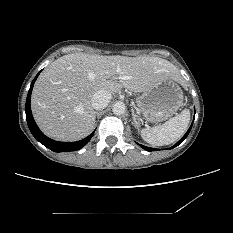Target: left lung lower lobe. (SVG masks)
<instances>
[{
	"label": "left lung lower lobe",
	"mask_w": 233,
	"mask_h": 233,
	"mask_svg": "<svg viewBox=\"0 0 233 233\" xmlns=\"http://www.w3.org/2000/svg\"><path fill=\"white\" fill-rule=\"evenodd\" d=\"M192 125H193V123L191 124V126H190V128L188 129V131L186 132V134H185L174 146H172L171 148H174V147L178 146L180 143H182V142L184 141V139H186V137L188 136V134H189L190 131H191ZM139 145H140L141 148H143V149L146 150V151H154V150H155V149H153V148L146 147V146L141 145V144H139ZM156 150H158V149H156Z\"/></svg>",
	"instance_id": "obj_1"
}]
</instances>
